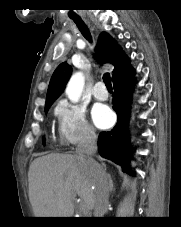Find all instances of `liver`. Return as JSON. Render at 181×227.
Instances as JSON below:
<instances>
[{
  "mask_svg": "<svg viewBox=\"0 0 181 227\" xmlns=\"http://www.w3.org/2000/svg\"><path fill=\"white\" fill-rule=\"evenodd\" d=\"M28 180L35 217H71L76 196L89 210L94 208L95 169L78 155L51 153L36 158Z\"/></svg>",
  "mask_w": 181,
  "mask_h": 227,
  "instance_id": "liver-1",
  "label": "liver"
}]
</instances>
